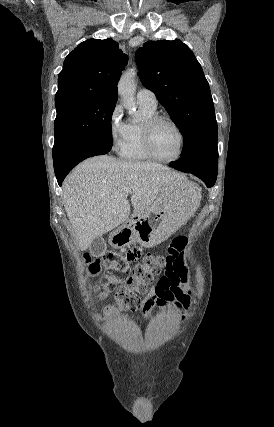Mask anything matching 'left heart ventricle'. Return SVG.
<instances>
[{
    "mask_svg": "<svg viewBox=\"0 0 274 427\" xmlns=\"http://www.w3.org/2000/svg\"><path fill=\"white\" fill-rule=\"evenodd\" d=\"M152 144L158 155L166 159H171L179 153L180 138L173 126L161 122L153 131Z\"/></svg>",
    "mask_w": 274,
    "mask_h": 427,
    "instance_id": "left-heart-ventricle-1",
    "label": "left heart ventricle"
}]
</instances>
